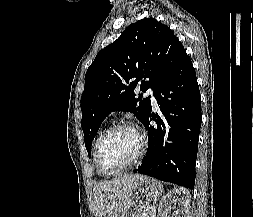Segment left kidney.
<instances>
[{
  "label": "left kidney",
  "mask_w": 253,
  "mask_h": 217,
  "mask_svg": "<svg viewBox=\"0 0 253 217\" xmlns=\"http://www.w3.org/2000/svg\"><path fill=\"white\" fill-rule=\"evenodd\" d=\"M190 202V194L184 188H176L168 192L160 201V217H186ZM177 205V207H176ZM174 210L171 213V210Z\"/></svg>",
  "instance_id": "obj_1"
}]
</instances>
